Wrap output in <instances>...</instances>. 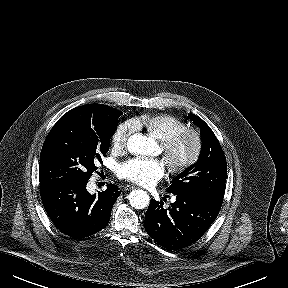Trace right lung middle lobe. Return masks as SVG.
I'll return each instance as SVG.
<instances>
[{
	"label": "right lung middle lobe",
	"mask_w": 288,
	"mask_h": 288,
	"mask_svg": "<svg viewBox=\"0 0 288 288\" xmlns=\"http://www.w3.org/2000/svg\"><path fill=\"white\" fill-rule=\"evenodd\" d=\"M123 115L107 105L95 111L72 109L49 132L40 154V184L86 183L109 150Z\"/></svg>",
	"instance_id": "right-lung-middle-lobe-1"
}]
</instances>
